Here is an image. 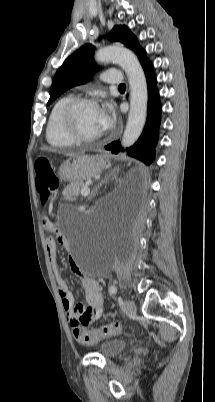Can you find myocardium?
Instances as JSON below:
<instances>
[{
    "label": "myocardium",
    "instance_id": "1",
    "mask_svg": "<svg viewBox=\"0 0 215 402\" xmlns=\"http://www.w3.org/2000/svg\"><path fill=\"white\" fill-rule=\"evenodd\" d=\"M84 105L98 106V103L92 98L75 97L66 104L61 115L62 128L66 135L75 143H90L98 140L102 136V133L87 136L79 131L76 122V115L79 108Z\"/></svg>",
    "mask_w": 215,
    "mask_h": 402
}]
</instances>
